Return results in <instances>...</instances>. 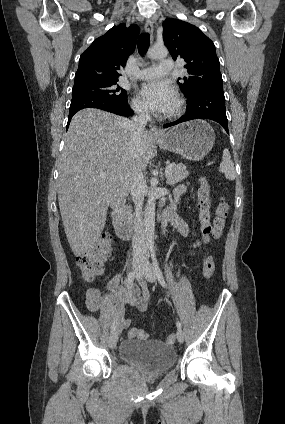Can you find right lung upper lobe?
<instances>
[{
  "label": "right lung upper lobe",
  "mask_w": 285,
  "mask_h": 424,
  "mask_svg": "<svg viewBox=\"0 0 285 424\" xmlns=\"http://www.w3.org/2000/svg\"><path fill=\"white\" fill-rule=\"evenodd\" d=\"M139 28L119 24L94 40L79 59L75 83L118 80L119 70L133 52Z\"/></svg>",
  "instance_id": "right-lung-upper-lobe-1"
}]
</instances>
